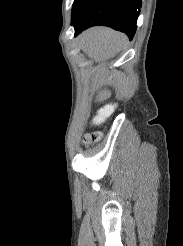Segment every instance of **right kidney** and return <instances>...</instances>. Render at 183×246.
Here are the masks:
<instances>
[{
	"mask_svg": "<svg viewBox=\"0 0 183 246\" xmlns=\"http://www.w3.org/2000/svg\"><path fill=\"white\" fill-rule=\"evenodd\" d=\"M116 105H106L98 111V115L94 118L95 124L103 123L115 110Z\"/></svg>",
	"mask_w": 183,
	"mask_h": 246,
	"instance_id": "right-kidney-1",
	"label": "right kidney"
}]
</instances>
